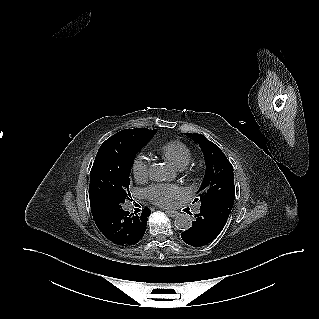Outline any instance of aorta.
Masks as SVG:
<instances>
[{"label": "aorta", "mask_w": 319, "mask_h": 319, "mask_svg": "<svg viewBox=\"0 0 319 319\" xmlns=\"http://www.w3.org/2000/svg\"><path fill=\"white\" fill-rule=\"evenodd\" d=\"M170 176L168 168L162 163H154L149 168V177L151 180L161 182ZM174 225L178 230H188L192 226V220L187 214H179Z\"/></svg>", "instance_id": "aorta-1"}]
</instances>
